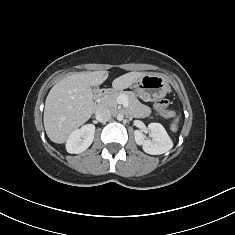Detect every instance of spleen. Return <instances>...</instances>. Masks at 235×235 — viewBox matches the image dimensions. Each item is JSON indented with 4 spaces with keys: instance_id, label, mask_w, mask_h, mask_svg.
<instances>
[{
    "instance_id": "3e777b00",
    "label": "spleen",
    "mask_w": 235,
    "mask_h": 235,
    "mask_svg": "<svg viewBox=\"0 0 235 235\" xmlns=\"http://www.w3.org/2000/svg\"><path fill=\"white\" fill-rule=\"evenodd\" d=\"M179 120H180V117H179V116H177V117L173 120V122H172V124H171V126H170V129H171L172 132H176V131L178 130V122H179Z\"/></svg>"
}]
</instances>
